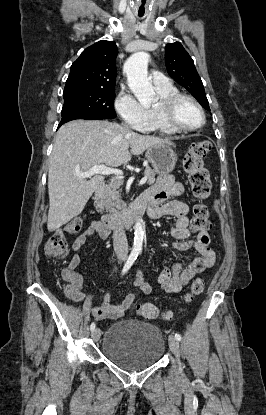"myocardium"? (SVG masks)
Masks as SVG:
<instances>
[{"instance_id":"obj_1","label":"myocardium","mask_w":266,"mask_h":415,"mask_svg":"<svg viewBox=\"0 0 266 415\" xmlns=\"http://www.w3.org/2000/svg\"><path fill=\"white\" fill-rule=\"evenodd\" d=\"M182 100H187L191 102L199 110L202 117V121L199 125L188 127L178 122L176 118V109L179 102H181ZM155 108L162 122L175 132L196 131L202 128L206 123V114L201 104L194 97L185 93L175 92L168 94L166 96H162L156 103Z\"/></svg>"}]
</instances>
